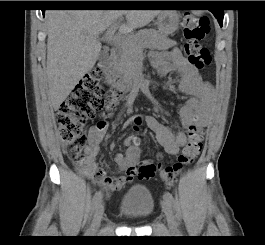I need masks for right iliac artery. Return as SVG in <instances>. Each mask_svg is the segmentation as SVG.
<instances>
[{
    "instance_id": "82829eb1",
    "label": "right iliac artery",
    "mask_w": 265,
    "mask_h": 245,
    "mask_svg": "<svg viewBox=\"0 0 265 245\" xmlns=\"http://www.w3.org/2000/svg\"><path fill=\"white\" fill-rule=\"evenodd\" d=\"M101 199H102V192L97 191L92 198L90 210L91 209L94 210L96 206L101 202ZM86 235H87V232H86Z\"/></svg>"
}]
</instances>
